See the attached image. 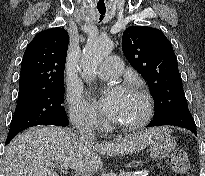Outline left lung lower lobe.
Segmentation results:
<instances>
[{"instance_id": "0a47b994", "label": "left lung lower lobe", "mask_w": 205, "mask_h": 176, "mask_svg": "<svg viewBox=\"0 0 205 176\" xmlns=\"http://www.w3.org/2000/svg\"><path fill=\"white\" fill-rule=\"evenodd\" d=\"M162 125H174V126L183 127L192 131L195 135H197L196 125L188 109L187 103H182L170 113L161 116L157 119H153L148 126L153 127V126H162Z\"/></svg>"}]
</instances>
